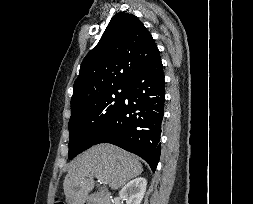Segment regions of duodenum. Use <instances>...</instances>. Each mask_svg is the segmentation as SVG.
<instances>
[{"mask_svg": "<svg viewBox=\"0 0 253 204\" xmlns=\"http://www.w3.org/2000/svg\"><path fill=\"white\" fill-rule=\"evenodd\" d=\"M84 204H112V196L107 191H102L85 199Z\"/></svg>", "mask_w": 253, "mask_h": 204, "instance_id": "410a0bca", "label": "duodenum"}]
</instances>
